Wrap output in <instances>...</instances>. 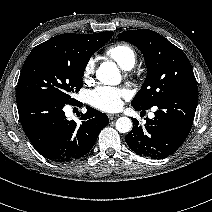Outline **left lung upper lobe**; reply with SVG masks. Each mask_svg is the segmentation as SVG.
<instances>
[{"label":"left lung upper lobe","mask_w":212,"mask_h":212,"mask_svg":"<svg viewBox=\"0 0 212 212\" xmlns=\"http://www.w3.org/2000/svg\"><path fill=\"white\" fill-rule=\"evenodd\" d=\"M118 39L137 46L143 53L147 77L132 106L150 109L181 92L197 91L192 66L184 52L155 31L128 30Z\"/></svg>","instance_id":"obj_1"}]
</instances>
